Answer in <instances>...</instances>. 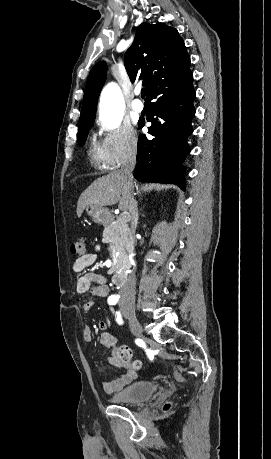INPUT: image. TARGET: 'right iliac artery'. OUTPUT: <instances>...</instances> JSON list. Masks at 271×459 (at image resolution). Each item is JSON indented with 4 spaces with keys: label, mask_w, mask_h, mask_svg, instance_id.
I'll return each instance as SVG.
<instances>
[{
    "label": "right iliac artery",
    "mask_w": 271,
    "mask_h": 459,
    "mask_svg": "<svg viewBox=\"0 0 271 459\" xmlns=\"http://www.w3.org/2000/svg\"><path fill=\"white\" fill-rule=\"evenodd\" d=\"M117 302H118V300L115 299V298H113V297H109V298H108V303H109L110 305H115Z\"/></svg>",
    "instance_id": "82829eb1"
}]
</instances>
